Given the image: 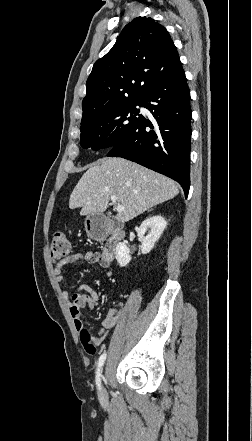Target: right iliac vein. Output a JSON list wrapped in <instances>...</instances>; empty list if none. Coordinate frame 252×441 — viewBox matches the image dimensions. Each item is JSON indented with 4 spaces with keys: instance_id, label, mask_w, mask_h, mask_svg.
Wrapping results in <instances>:
<instances>
[{
    "instance_id": "63e3f726",
    "label": "right iliac vein",
    "mask_w": 252,
    "mask_h": 441,
    "mask_svg": "<svg viewBox=\"0 0 252 441\" xmlns=\"http://www.w3.org/2000/svg\"><path fill=\"white\" fill-rule=\"evenodd\" d=\"M99 396L102 399L106 398V391L104 390V388H101Z\"/></svg>"
}]
</instances>
